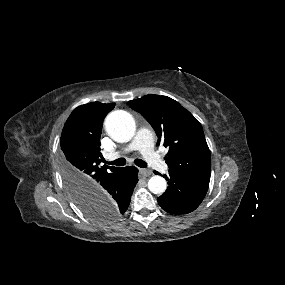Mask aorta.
Masks as SVG:
<instances>
[{
	"instance_id": "aorta-1",
	"label": "aorta",
	"mask_w": 285,
	"mask_h": 285,
	"mask_svg": "<svg viewBox=\"0 0 285 285\" xmlns=\"http://www.w3.org/2000/svg\"><path fill=\"white\" fill-rule=\"evenodd\" d=\"M107 134L117 142L130 141L135 133L136 125L132 115L123 110L111 112L105 120ZM166 180L158 175L148 181V188L154 194H162L166 190Z\"/></svg>"
}]
</instances>
